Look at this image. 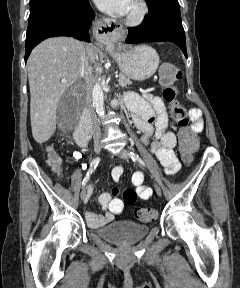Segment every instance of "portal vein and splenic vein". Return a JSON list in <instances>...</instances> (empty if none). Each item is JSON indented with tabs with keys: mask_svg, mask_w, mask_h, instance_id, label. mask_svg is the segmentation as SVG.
Segmentation results:
<instances>
[{
	"mask_svg": "<svg viewBox=\"0 0 240 288\" xmlns=\"http://www.w3.org/2000/svg\"><path fill=\"white\" fill-rule=\"evenodd\" d=\"M118 75H116V77H117ZM62 82H66V80L64 79V80H62Z\"/></svg>",
	"mask_w": 240,
	"mask_h": 288,
	"instance_id": "portal-vein-and-splenic-vein-1",
	"label": "portal vein and splenic vein"
}]
</instances>
